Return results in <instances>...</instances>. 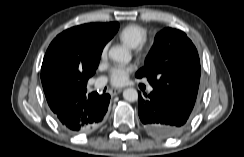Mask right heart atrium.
<instances>
[{
  "label": "right heart atrium",
  "instance_id": "1",
  "mask_svg": "<svg viewBox=\"0 0 244 157\" xmlns=\"http://www.w3.org/2000/svg\"><path fill=\"white\" fill-rule=\"evenodd\" d=\"M107 56H108V45H105L100 53V60L101 62H105L107 60Z\"/></svg>",
  "mask_w": 244,
  "mask_h": 157
}]
</instances>
